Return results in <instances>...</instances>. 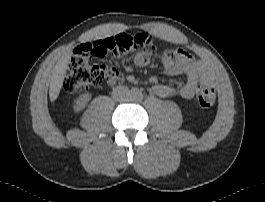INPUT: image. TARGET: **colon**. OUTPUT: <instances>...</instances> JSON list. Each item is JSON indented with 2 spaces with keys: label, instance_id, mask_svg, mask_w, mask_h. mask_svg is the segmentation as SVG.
Segmentation results:
<instances>
[{
  "label": "colon",
  "instance_id": "1",
  "mask_svg": "<svg viewBox=\"0 0 265 202\" xmlns=\"http://www.w3.org/2000/svg\"><path fill=\"white\" fill-rule=\"evenodd\" d=\"M94 46L103 55L106 53L120 55L132 50L152 55L156 50L153 38L146 34L130 36L118 33L94 41ZM119 76V69L113 65L97 62L87 56L75 55L69 60L63 86L67 92L75 94L89 86H98ZM216 98L217 92L214 87H200L197 91V100L201 108L212 107Z\"/></svg>",
  "mask_w": 265,
  "mask_h": 202
}]
</instances>
